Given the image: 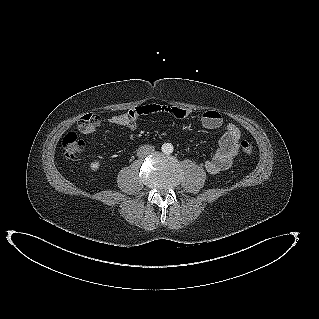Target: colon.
<instances>
[{
  "instance_id": "obj_1",
  "label": "colon",
  "mask_w": 319,
  "mask_h": 319,
  "mask_svg": "<svg viewBox=\"0 0 319 319\" xmlns=\"http://www.w3.org/2000/svg\"><path fill=\"white\" fill-rule=\"evenodd\" d=\"M92 120H93V114H86L79 119L78 125L91 122ZM62 146H63L65 157L69 160H73L84 151L85 142L79 139L75 133L70 132L64 136L62 140ZM240 148L242 152L244 153V155L248 157H252L254 155L255 150L253 145L250 142L243 140L240 143Z\"/></svg>"
}]
</instances>
